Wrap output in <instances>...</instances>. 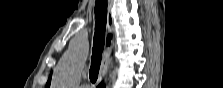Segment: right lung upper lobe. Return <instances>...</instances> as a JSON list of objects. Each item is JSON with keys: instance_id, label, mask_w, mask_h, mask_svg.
<instances>
[{"instance_id": "1", "label": "right lung upper lobe", "mask_w": 223, "mask_h": 88, "mask_svg": "<svg viewBox=\"0 0 223 88\" xmlns=\"http://www.w3.org/2000/svg\"><path fill=\"white\" fill-rule=\"evenodd\" d=\"M110 39H111V37L108 36V38H107V45H110ZM50 82H51V79L49 78V80H48V82H47V84H46V87H47V88H49V86H50Z\"/></svg>"}]
</instances>
